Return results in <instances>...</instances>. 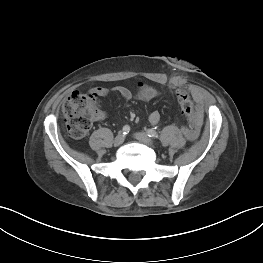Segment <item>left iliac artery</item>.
Masks as SVG:
<instances>
[{"label":"left iliac artery","mask_w":263,"mask_h":263,"mask_svg":"<svg viewBox=\"0 0 263 263\" xmlns=\"http://www.w3.org/2000/svg\"><path fill=\"white\" fill-rule=\"evenodd\" d=\"M146 133L149 137L158 138V133L154 129H148Z\"/></svg>","instance_id":"1"}]
</instances>
